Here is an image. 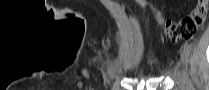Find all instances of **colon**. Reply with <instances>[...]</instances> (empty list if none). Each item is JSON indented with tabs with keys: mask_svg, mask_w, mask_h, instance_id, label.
<instances>
[{
	"mask_svg": "<svg viewBox=\"0 0 209 90\" xmlns=\"http://www.w3.org/2000/svg\"><path fill=\"white\" fill-rule=\"evenodd\" d=\"M141 4L153 16L165 38L171 42L192 38L197 29L205 23L209 13V0H199L195 8L187 16L173 22L165 20L160 12L148 1H142Z\"/></svg>",
	"mask_w": 209,
	"mask_h": 90,
	"instance_id": "1",
	"label": "colon"
}]
</instances>
